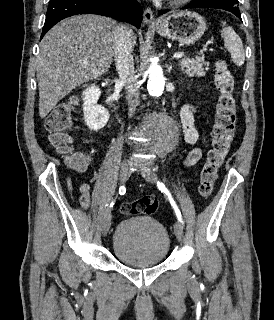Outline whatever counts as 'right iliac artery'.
Listing matches in <instances>:
<instances>
[{"label":"right iliac artery","mask_w":274,"mask_h":320,"mask_svg":"<svg viewBox=\"0 0 274 320\" xmlns=\"http://www.w3.org/2000/svg\"><path fill=\"white\" fill-rule=\"evenodd\" d=\"M125 192H126V188H125L124 186H121V187L119 188V193H120L121 195H123V194H125ZM114 201H115V199H114ZM114 201H112V203L110 204V207H113Z\"/></svg>","instance_id":"obj_1"}]
</instances>
